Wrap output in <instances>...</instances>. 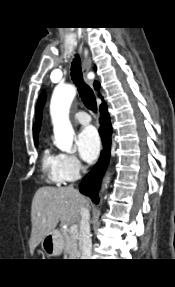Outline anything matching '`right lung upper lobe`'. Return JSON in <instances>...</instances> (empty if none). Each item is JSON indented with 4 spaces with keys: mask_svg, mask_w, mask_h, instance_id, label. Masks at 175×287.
I'll return each mask as SVG.
<instances>
[{
    "mask_svg": "<svg viewBox=\"0 0 175 287\" xmlns=\"http://www.w3.org/2000/svg\"><path fill=\"white\" fill-rule=\"evenodd\" d=\"M94 87H95V89L99 88V83H98L97 81H95ZM98 96L102 99V96H101L100 94H99ZM102 101H103V99H102ZM103 103H104V101L102 102V104H103ZM102 104H101V105H102ZM33 131H34V140H35V143H36L37 140H38V136H37L35 127L33 128Z\"/></svg>",
    "mask_w": 175,
    "mask_h": 287,
    "instance_id": "1",
    "label": "right lung upper lobe"
}]
</instances>
